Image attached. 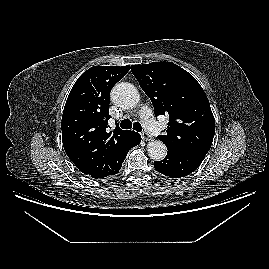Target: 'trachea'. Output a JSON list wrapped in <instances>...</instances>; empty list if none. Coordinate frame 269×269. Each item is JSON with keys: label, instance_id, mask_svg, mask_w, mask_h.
Masks as SVG:
<instances>
[{"label": "trachea", "instance_id": "obj_1", "mask_svg": "<svg viewBox=\"0 0 269 269\" xmlns=\"http://www.w3.org/2000/svg\"><path fill=\"white\" fill-rule=\"evenodd\" d=\"M120 127L122 129H131L133 127V129L136 130L137 132L142 131V126L139 122L132 123L129 119L122 120L120 123Z\"/></svg>", "mask_w": 269, "mask_h": 269}]
</instances>
